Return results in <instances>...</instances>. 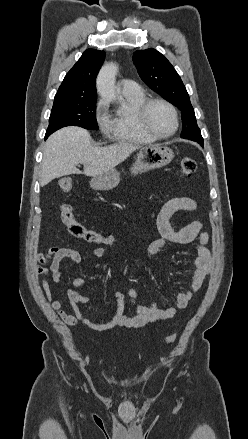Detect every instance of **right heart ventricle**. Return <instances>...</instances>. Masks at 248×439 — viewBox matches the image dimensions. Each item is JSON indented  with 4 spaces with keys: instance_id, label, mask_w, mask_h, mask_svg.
Listing matches in <instances>:
<instances>
[{
    "instance_id": "1",
    "label": "right heart ventricle",
    "mask_w": 248,
    "mask_h": 439,
    "mask_svg": "<svg viewBox=\"0 0 248 439\" xmlns=\"http://www.w3.org/2000/svg\"><path fill=\"white\" fill-rule=\"evenodd\" d=\"M125 104L111 118L110 135L120 143H130L136 145L150 144L156 141L155 138L147 134L141 127L137 110L141 103L146 99L142 89L135 93H124Z\"/></svg>"
}]
</instances>
